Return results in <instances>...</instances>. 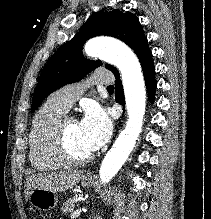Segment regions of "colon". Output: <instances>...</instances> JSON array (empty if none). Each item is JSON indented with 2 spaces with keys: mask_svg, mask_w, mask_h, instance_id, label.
Here are the masks:
<instances>
[{
  "mask_svg": "<svg viewBox=\"0 0 211 219\" xmlns=\"http://www.w3.org/2000/svg\"><path fill=\"white\" fill-rule=\"evenodd\" d=\"M34 219H47V217H45V216H37V217L34 218Z\"/></svg>",
  "mask_w": 211,
  "mask_h": 219,
  "instance_id": "1",
  "label": "colon"
}]
</instances>
